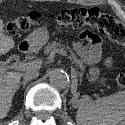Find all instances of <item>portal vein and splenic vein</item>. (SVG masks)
Instances as JSON below:
<instances>
[{
  "label": "portal vein and splenic vein",
  "instance_id": "portal-vein-and-splenic-vein-1",
  "mask_svg": "<svg viewBox=\"0 0 125 125\" xmlns=\"http://www.w3.org/2000/svg\"><path fill=\"white\" fill-rule=\"evenodd\" d=\"M55 53H59L65 57H68L67 52L62 50V49L58 50ZM40 65H41L40 61H32V62H20V61H18V62L11 64L9 66V68L18 69V70H22V71H26V70L29 71V70H35V69L39 68ZM3 72H4V68H2L0 66V73H3ZM72 72L75 73L74 68H72Z\"/></svg>",
  "mask_w": 125,
  "mask_h": 125
}]
</instances>
